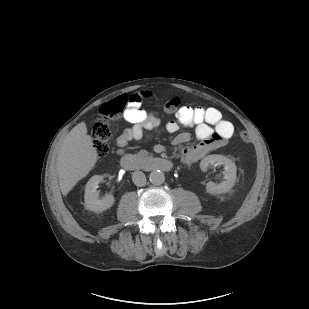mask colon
I'll list each match as a JSON object with an SVG mask.
<instances>
[{"label":"colon","instance_id":"1","mask_svg":"<svg viewBox=\"0 0 309 309\" xmlns=\"http://www.w3.org/2000/svg\"><path fill=\"white\" fill-rule=\"evenodd\" d=\"M143 96L146 97V95ZM127 101L128 98L126 96H121L101 105L99 109L100 117L92 129L93 145L97 156L105 157L108 155L110 150L109 144L113 138V130L110 121L119 118L122 115ZM178 103L179 100L173 98L169 100L164 107L168 111H173ZM239 137L246 143H249L251 140L249 133L246 131H240Z\"/></svg>","mask_w":309,"mask_h":309}]
</instances>
